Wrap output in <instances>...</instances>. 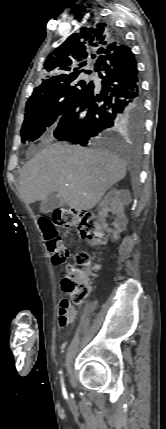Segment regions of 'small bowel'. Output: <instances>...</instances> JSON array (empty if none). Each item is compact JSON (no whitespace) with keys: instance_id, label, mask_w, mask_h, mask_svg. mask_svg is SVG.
<instances>
[{"instance_id":"1","label":"small bowel","mask_w":166,"mask_h":429,"mask_svg":"<svg viewBox=\"0 0 166 429\" xmlns=\"http://www.w3.org/2000/svg\"><path fill=\"white\" fill-rule=\"evenodd\" d=\"M76 315L75 308L66 299L60 300L58 306V325L60 328L73 322Z\"/></svg>"}]
</instances>
